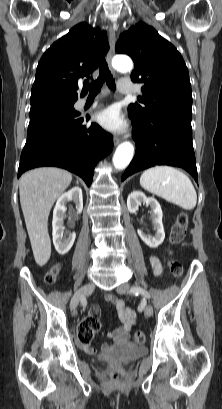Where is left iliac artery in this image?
<instances>
[{
  "label": "left iliac artery",
  "instance_id": "obj_1",
  "mask_svg": "<svg viewBox=\"0 0 222 409\" xmlns=\"http://www.w3.org/2000/svg\"><path fill=\"white\" fill-rule=\"evenodd\" d=\"M130 293L135 295L142 294L146 298H150V294L146 290L138 286H133L130 290Z\"/></svg>",
  "mask_w": 222,
  "mask_h": 409
}]
</instances>
